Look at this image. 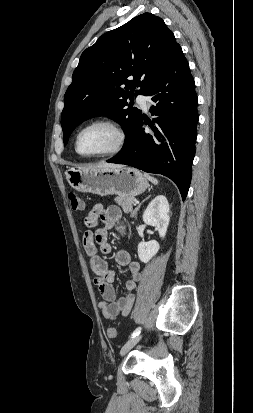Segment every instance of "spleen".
<instances>
[{"mask_svg":"<svg viewBox=\"0 0 253 413\" xmlns=\"http://www.w3.org/2000/svg\"><path fill=\"white\" fill-rule=\"evenodd\" d=\"M145 177L152 182L153 184H158V180L152 176H150L149 174H145Z\"/></svg>","mask_w":253,"mask_h":413,"instance_id":"obj_1","label":"spleen"}]
</instances>
